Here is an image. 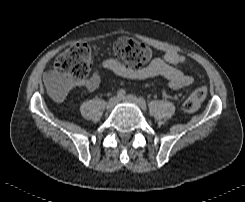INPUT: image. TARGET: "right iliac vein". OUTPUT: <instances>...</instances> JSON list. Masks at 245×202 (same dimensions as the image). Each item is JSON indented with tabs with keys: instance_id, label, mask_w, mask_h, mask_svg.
<instances>
[{
	"instance_id": "obj_1",
	"label": "right iliac vein",
	"mask_w": 245,
	"mask_h": 202,
	"mask_svg": "<svg viewBox=\"0 0 245 202\" xmlns=\"http://www.w3.org/2000/svg\"><path fill=\"white\" fill-rule=\"evenodd\" d=\"M119 102V98L118 97H112L106 106L107 111H111Z\"/></svg>"
}]
</instances>
